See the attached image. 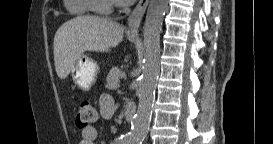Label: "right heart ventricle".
Returning a JSON list of instances; mask_svg holds the SVG:
<instances>
[{
  "label": "right heart ventricle",
  "instance_id": "e07e8e85",
  "mask_svg": "<svg viewBox=\"0 0 273 144\" xmlns=\"http://www.w3.org/2000/svg\"><path fill=\"white\" fill-rule=\"evenodd\" d=\"M90 1L91 0H64V7L71 16H84L91 10Z\"/></svg>",
  "mask_w": 273,
  "mask_h": 144
}]
</instances>
